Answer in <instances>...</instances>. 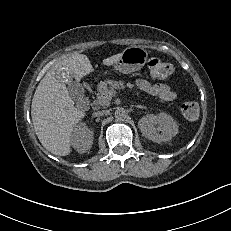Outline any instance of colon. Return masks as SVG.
I'll use <instances>...</instances> for the list:
<instances>
[{
    "label": "colon",
    "instance_id": "1",
    "mask_svg": "<svg viewBox=\"0 0 231 231\" xmlns=\"http://www.w3.org/2000/svg\"><path fill=\"white\" fill-rule=\"evenodd\" d=\"M150 76L154 79H166L173 73V66L159 58H151L148 62ZM186 119L196 120L199 116V106L194 101H186L181 106Z\"/></svg>",
    "mask_w": 231,
    "mask_h": 231
}]
</instances>
